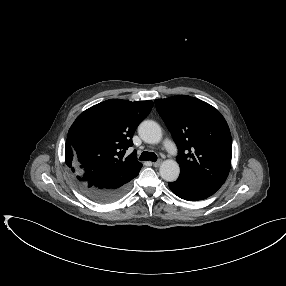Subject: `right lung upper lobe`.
<instances>
[{
    "label": "right lung upper lobe",
    "mask_w": 286,
    "mask_h": 286,
    "mask_svg": "<svg viewBox=\"0 0 286 286\" xmlns=\"http://www.w3.org/2000/svg\"><path fill=\"white\" fill-rule=\"evenodd\" d=\"M152 107V101L110 99L85 110L69 129L66 164L76 174L92 179L95 186L131 178L142 164L134 154L125 158L124 153L133 145V134Z\"/></svg>",
    "instance_id": "1"
}]
</instances>
